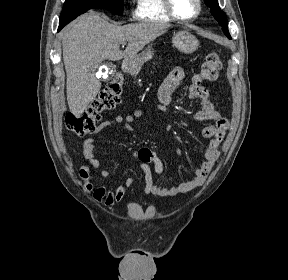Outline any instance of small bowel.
I'll return each instance as SVG.
<instances>
[{"mask_svg": "<svg viewBox=\"0 0 288 280\" xmlns=\"http://www.w3.org/2000/svg\"><path fill=\"white\" fill-rule=\"evenodd\" d=\"M187 78L186 71L181 68H175L165 79L158 91V99L160 102L159 110L164 113L169 112L172 94L177 90L181 81ZM189 96L191 99L198 100L202 109L196 112L192 118L197 121H211L212 124L206 126L202 130V136L208 139V144L204 150V161L195 170L191 180L181 183L173 187H163L157 184L156 179L164 172V164L161 159L152 152L149 148L143 147L134 152L132 156L136 158L141 165L145 174V187L143 193L145 195L152 194L160 197H169L185 194L204 184L208 175L212 171L218 157L219 146L225 135L229 123L226 118L222 117L211 101L207 89L197 83H192L189 87ZM144 115L143 110H136L133 114L127 116H115L110 120H106L99 124L94 131V136L87 138L84 141V155L90 165L96 168L101 166L100 161L94 153L95 135L100 134L106 128L119 124L124 129L132 131L133 124L136 119ZM81 177L86 182V190L92 193L93 199L98 203H103L107 207H112L123 200L125 195L133 190L134 179L126 177L123 184L118 185L114 189H107L104 186L94 187L90 181V168L84 166L80 170ZM110 172L107 169L100 170L102 178L109 177Z\"/></svg>", "mask_w": 288, "mask_h": 280, "instance_id": "1", "label": "small bowel"}]
</instances>
